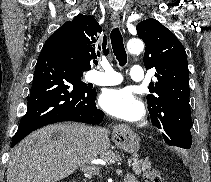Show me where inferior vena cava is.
Segmentation results:
<instances>
[{
	"instance_id": "obj_1",
	"label": "inferior vena cava",
	"mask_w": 211,
	"mask_h": 182,
	"mask_svg": "<svg viewBox=\"0 0 211 182\" xmlns=\"http://www.w3.org/2000/svg\"><path fill=\"white\" fill-rule=\"evenodd\" d=\"M92 133H93V134H98V129H93V130H92Z\"/></svg>"
}]
</instances>
